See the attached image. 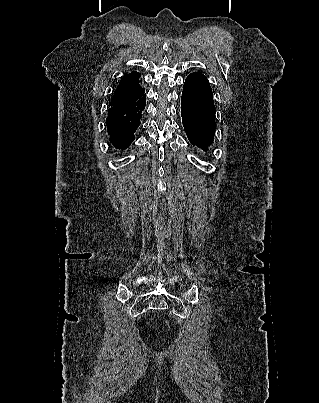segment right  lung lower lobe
I'll return each instance as SVG.
<instances>
[{"instance_id":"1","label":"right lung lower lobe","mask_w":319,"mask_h":403,"mask_svg":"<svg viewBox=\"0 0 319 403\" xmlns=\"http://www.w3.org/2000/svg\"><path fill=\"white\" fill-rule=\"evenodd\" d=\"M145 100L146 94L143 91L121 104L110 106L106 125L110 141L115 148L126 149L134 141V134L145 108Z\"/></svg>"}]
</instances>
